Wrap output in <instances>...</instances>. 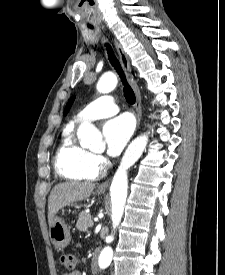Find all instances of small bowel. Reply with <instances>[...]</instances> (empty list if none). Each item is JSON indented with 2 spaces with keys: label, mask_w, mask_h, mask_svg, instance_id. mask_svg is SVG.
Wrapping results in <instances>:
<instances>
[{
  "label": "small bowel",
  "mask_w": 225,
  "mask_h": 275,
  "mask_svg": "<svg viewBox=\"0 0 225 275\" xmlns=\"http://www.w3.org/2000/svg\"><path fill=\"white\" fill-rule=\"evenodd\" d=\"M62 275H81V273L79 271H71L63 273Z\"/></svg>",
  "instance_id": "small-bowel-1"
}]
</instances>
